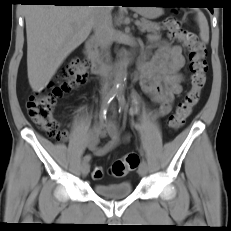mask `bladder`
Returning a JSON list of instances; mask_svg holds the SVG:
<instances>
[{"mask_svg": "<svg viewBox=\"0 0 231 231\" xmlns=\"http://www.w3.org/2000/svg\"><path fill=\"white\" fill-rule=\"evenodd\" d=\"M94 191L101 197L108 199H121L128 197L132 192V184L129 181H122L112 184L96 183Z\"/></svg>", "mask_w": 231, "mask_h": 231, "instance_id": "obj_1", "label": "bladder"}]
</instances>
